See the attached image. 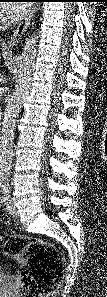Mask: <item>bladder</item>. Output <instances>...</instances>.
Masks as SVG:
<instances>
[{"instance_id": "bladder-1", "label": "bladder", "mask_w": 107, "mask_h": 297, "mask_svg": "<svg viewBox=\"0 0 107 297\" xmlns=\"http://www.w3.org/2000/svg\"><path fill=\"white\" fill-rule=\"evenodd\" d=\"M0 277H1V280H3L4 278V273L0 270Z\"/></svg>"}]
</instances>
